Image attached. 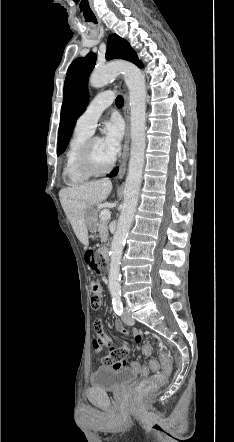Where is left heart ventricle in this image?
<instances>
[{
  "mask_svg": "<svg viewBox=\"0 0 234 442\" xmlns=\"http://www.w3.org/2000/svg\"><path fill=\"white\" fill-rule=\"evenodd\" d=\"M93 159L98 168L106 167L113 159L104 149L102 140L97 138L93 142Z\"/></svg>",
  "mask_w": 234,
  "mask_h": 442,
  "instance_id": "left-heart-ventricle-1",
  "label": "left heart ventricle"
}]
</instances>
